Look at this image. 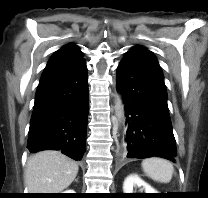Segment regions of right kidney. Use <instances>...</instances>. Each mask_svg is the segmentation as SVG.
Instances as JSON below:
<instances>
[{
	"mask_svg": "<svg viewBox=\"0 0 208 198\" xmlns=\"http://www.w3.org/2000/svg\"><path fill=\"white\" fill-rule=\"evenodd\" d=\"M64 193H75V191H73L72 189H69L67 191H64Z\"/></svg>",
	"mask_w": 208,
	"mask_h": 198,
	"instance_id": "right-kidney-1",
	"label": "right kidney"
}]
</instances>
